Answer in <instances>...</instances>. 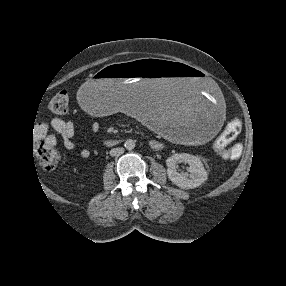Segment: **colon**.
Returning <instances> with one entry per match:
<instances>
[{
    "mask_svg": "<svg viewBox=\"0 0 286 286\" xmlns=\"http://www.w3.org/2000/svg\"><path fill=\"white\" fill-rule=\"evenodd\" d=\"M48 110L54 115H65L69 110V96L66 92H59L47 104ZM241 120L233 118L224 128L215 142V149L222 151L234 141L241 131ZM34 152L40 166L46 171L55 169L59 155L58 152L44 140H38L34 146Z\"/></svg>",
    "mask_w": 286,
    "mask_h": 286,
    "instance_id": "colon-1",
    "label": "colon"
}]
</instances>
